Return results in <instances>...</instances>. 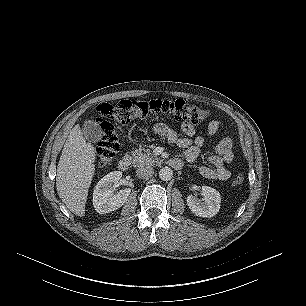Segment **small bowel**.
Instances as JSON below:
<instances>
[{"instance_id": "1", "label": "small bowel", "mask_w": 306, "mask_h": 306, "mask_svg": "<svg viewBox=\"0 0 306 306\" xmlns=\"http://www.w3.org/2000/svg\"><path fill=\"white\" fill-rule=\"evenodd\" d=\"M221 127V122L216 120L210 121L207 124L206 133L208 136H212L216 134ZM181 130L184 136L178 135L174 130L164 124H159L155 128V131L166 137L171 144L184 149L185 159L192 162L198 157L200 148L204 145L205 139L203 136L194 137L195 128L191 124L183 123L181 125ZM175 159L181 162L180 159ZM233 159V140L230 137H225L214 146V153L208 158L212 167L203 166L199 169V172L204 178L209 180H227L231 176L227 164Z\"/></svg>"}]
</instances>
